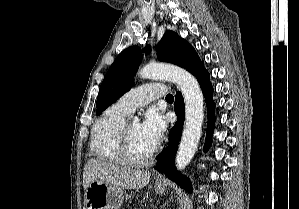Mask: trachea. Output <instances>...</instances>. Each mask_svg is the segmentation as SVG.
Segmentation results:
<instances>
[{
    "mask_svg": "<svg viewBox=\"0 0 299 209\" xmlns=\"http://www.w3.org/2000/svg\"><path fill=\"white\" fill-rule=\"evenodd\" d=\"M166 100H167V101H173V100H174L173 95L168 94V95L166 96Z\"/></svg>",
    "mask_w": 299,
    "mask_h": 209,
    "instance_id": "1",
    "label": "trachea"
}]
</instances>
